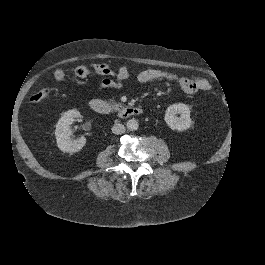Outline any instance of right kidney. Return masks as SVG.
<instances>
[{"mask_svg": "<svg viewBox=\"0 0 265 265\" xmlns=\"http://www.w3.org/2000/svg\"><path fill=\"white\" fill-rule=\"evenodd\" d=\"M80 117V113L76 110L66 112L56 124L55 137L57 148L66 154H74L86 145V138L80 137L77 140H72V134L69 131V126L74 123L76 118Z\"/></svg>", "mask_w": 265, "mask_h": 265, "instance_id": "1", "label": "right kidney"}]
</instances>
